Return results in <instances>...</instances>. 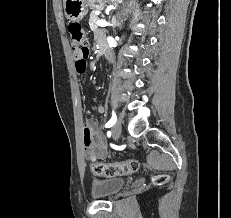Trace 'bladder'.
<instances>
[{"label": "bladder", "mask_w": 231, "mask_h": 218, "mask_svg": "<svg viewBox=\"0 0 231 218\" xmlns=\"http://www.w3.org/2000/svg\"><path fill=\"white\" fill-rule=\"evenodd\" d=\"M126 184L124 178L95 179L92 183L91 195L95 199H105L117 194Z\"/></svg>", "instance_id": "1"}]
</instances>
